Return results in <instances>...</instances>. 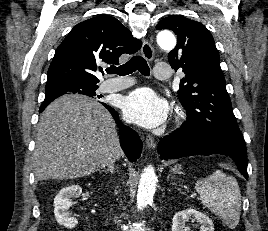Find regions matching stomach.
I'll return each instance as SVG.
<instances>
[{
  "instance_id": "obj_1",
  "label": "stomach",
  "mask_w": 268,
  "mask_h": 231,
  "mask_svg": "<svg viewBox=\"0 0 268 231\" xmlns=\"http://www.w3.org/2000/svg\"><path fill=\"white\" fill-rule=\"evenodd\" d=\"M181 170V167L176 165L171 169V172H173L174 174H178Z\"/></svg>"
}]
</instances>
